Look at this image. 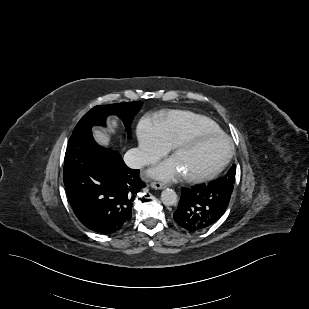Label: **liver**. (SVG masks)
<instances>
[{"label": "liver", "instance_id": "obj_1", "mask_svg": "<svg viewBox=\"0 0 309 309\" xmlns=\"http://www.w3.org/2000/svg\"><path fill=\"white\" fill-rule=\"evenodd\" d=\"M117 121L115 119H112L110 121L111 129L117 128ZM93 135L95 140L102 146H107L110 140V135L106 130H100V129H94Z\"/></svg>", "mask_w": 309, "mask_h": 309}]
</instances>
